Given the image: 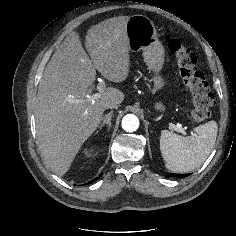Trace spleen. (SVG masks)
<instances>
[{
    "mask_svg": "<svg viewBox=\"0 0 236 236\" xmlns=\"http://www.w3.org/2000/svg\"><path fill=\"white\" fill-rule=\"evenodd\" d=\"M195 136L183 137L168 130H162L160 151L165 166L174 172H188L203 164L211 153L218 132L215 121H209L194 128Z\"/></svg>",
    "mask_w": 236,
    "mask_h": 236,
    "instance_id": "obj_1",
    "label": "spleen"
}]
</instances>
